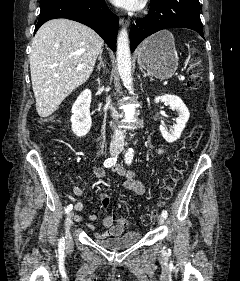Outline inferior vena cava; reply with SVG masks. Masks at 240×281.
Masks as SVG:
<instances>
[{
	"mask_svg": "<svg viewBox=\"0 0 240 281\" xmlns=\"http://www.w3.org/2000/svg\"><path fill=\"white\" fill-rule=\"evenodd\" d=\"M106 101L108 104H110L111 102V99L110 97H107L106 98ZM111 116L115 119V120H118L119 117H121V115H119V113L116 111V109H112V113H111ZM124 142V133L121 129L119 128H115L114 129V134H113V137H112V141L111 143L112 144H122Z\"/></svg>",
	"mask_w": 240,
	"mask_h": 281,
	"instance_id": "obj_1",
	"label": "inferior vena cava"
}]
</instances>
